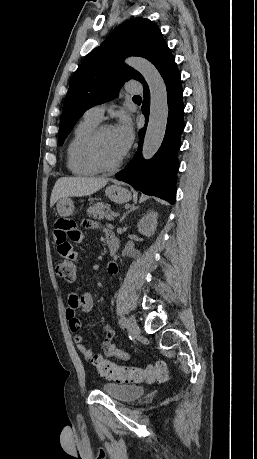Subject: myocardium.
I'll return each mask as SVG.
<instances>
[{"mask_svg":"<svg viewBox=\"0 0 257 459\" xmlns=\"http://www.w3.org/2000/svg\"><path fill=\"white\" fill-rule=\"evenodd\" d=\"M112 125L104 123L97 125L87 137L84 147L83 154L85 159L99 171L110 172L116 170L124 161L125 155L123 154L118 160L111 164L103 162L98 154V141L100 136L108 129H111Z\"/></svg>","mask_w":257,"mask_h":459,"instance_id":"1","label":"myocardium"}]
</instances>
